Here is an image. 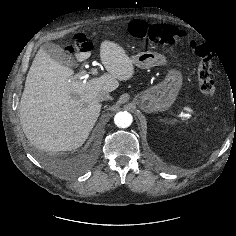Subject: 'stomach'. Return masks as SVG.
Instances as JSON below:
<instances>
[{
	"instance_id": "obj_1",
	"label": "stomach",
	"mask_w": 236,
	"mask_h": 236,
	"mask_svg": "<svg viewBox=\"0 0 236 236\" xmlns=\"http://www.w3.org/2000/svg\"><path fill=\"white\" fill-rule=\"evenodd\" d=\"M132 59L134 64L142 69L167 64L166 57L158 52H140ZM182 81L181 72L170 69L161 83L137 94L135 102L140 109L148 113L167 110L176 100Z\"/></svg>"
}]
</instances>
